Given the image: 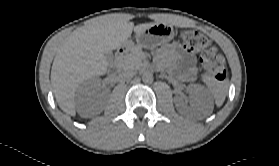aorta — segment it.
Listing matches in <instances>:
<instances>
[{
    "mask_svg": "<svg viewBox=\"0 0 279 166\" xmlns=\"http://www.w3.org/2000/svg\"><path fill=\"white\" fill-rule=\"evenodd\" d=\"M142 80L144 83H152L153 82V74L151 72H144L142 75Z\"/></svg>",
    "mask_w": 279,
    "mask_h": 166,
    "instance_id": "aorta-1",
    "label": "aorta"
}]
</instances>
